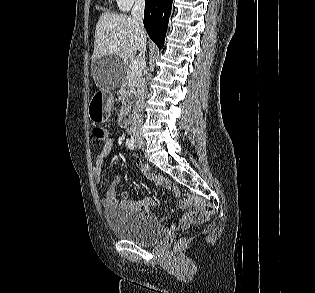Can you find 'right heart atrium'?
<instances>
[{"label": "right heart atrium", "instance_id": "obj_1", "mask_svg": "<svg viewBox=\"0 0 315 293\" xmlns=\"http://www.w3.org/2000/svg\"><path fill=\"white\" fill-rule=\"evenodd\" d=\"M143 0H115L117 6L123 10H129L134 4L142 2Z\"/></svg>", "mask_w": 315, "mask_h": 293}]
</instances>
